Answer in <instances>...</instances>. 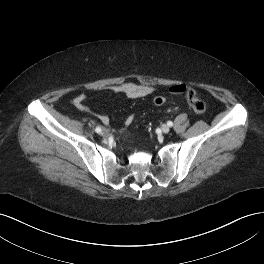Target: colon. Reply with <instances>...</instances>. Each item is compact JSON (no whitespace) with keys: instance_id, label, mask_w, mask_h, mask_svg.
Listing matches in <instances>:
<instances>
[{"instance_id":"5ec220e1","label":"colon","mask_w":264,"mask_h":264,"mask_svg":"<svg viewBox=\"0 0 264 264\" xmlns=\"http://www.w3.org/2000/svg\"><path fill=\"white\" fill-rule=\"evenodd\" d=\"M186 100L188 105L190 106V108L196 113V114H204L206 111V105L205 103L200 100L197 95L196 92L194 91V89L192 88H188L186 90ZM154 104L156 106H162L165 104L166 102V98L164 96H156L154 98Z\"/></svg>"}]
</instances>
